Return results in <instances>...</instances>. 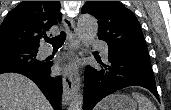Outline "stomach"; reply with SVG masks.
Masks as SVG:
<instances>
[{"instance_id": "obj_1", "label": "stomach", "mask_w": 171, "mask_h": 110, "mask_svg": "<svg viewBox=\"0 0 171 110\" xmlns=\"http://www.w3.org/2000/svg\"><path fill=\"white\" fill-rule=\"evenodd\" d=\"M103 102H107L101 110H136V102L126 95H111Z\"/></svg>"}]
</instances>
